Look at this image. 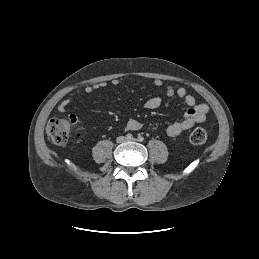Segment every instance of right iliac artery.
<instances>
[{"label": "right iliac artery", "instance_id": "1", "mask_svg": "<svg viewBox=\"0 0 259 259\" xmlns=\"http://www.w3.org/2000/svg\"><path fill=\"white\" fill-rule=\"evenodd\" d=\"M133 138V135L131 134V133H128L127 135H126V139H132Z\"/></svg>", "mask_w": 259, "mask_h": 259}]
</instances>
